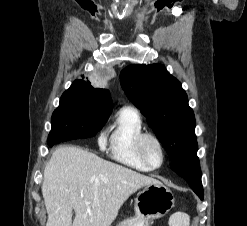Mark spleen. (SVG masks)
I'll list each match as a JSON object with an SVG mask.
<instances>
[{
    "label": "spleen",
    "instance_id": "obj_1",
    "mask_svg": "<svg viewBox=\"0 0 247 226\" xmlns=\"http://www.w3.org/2000/svg\"><path fill=\"white\" fill-rule=\"evenodd\" d=\"M169 226H189L190 217L183 212H176L169 218Z\"/></svg>",
    "mask_w": 247,
    "mask_h": 226
}]
</instances>
